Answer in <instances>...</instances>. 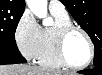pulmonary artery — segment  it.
<instances>
[{"mask_svg": "<svg viewBox=\"0 0 102 75\" xmlns=\"http://www.w3.org/2000/svg\"><path fill=\"white\" fill-rule=\"evenodd\" d=\"M49 9H50V11L59 12V13L67 12L65 6L60 1H50Z\"/></svg>", "mask_w": 102, "mask_h": 75, "instance_id": "pulmonary-artery-1", "label": "pulmonary artery"}]
</instances>
